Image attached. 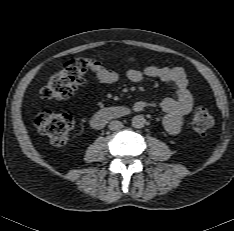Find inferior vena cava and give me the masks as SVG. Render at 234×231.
<instances>
[{"instance_id": "obj_1", "label": "inferior vena cava", "mask_w": 234, "mask_h": 231, "mask_svg": "<svg viewBox=\"0 0 234 231\" xmlns=\"http://www.w3.org/2000/svg\"><path fill=\"white\" fill-rule=\"evenodd\" d=\"M123 126H124L123 123L121 121H118V120L111 121L108 125L109 129L113 130V131H118V130L122 129Z\"/></svg>"}]
</instances>
